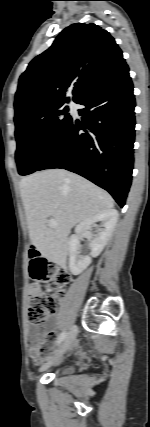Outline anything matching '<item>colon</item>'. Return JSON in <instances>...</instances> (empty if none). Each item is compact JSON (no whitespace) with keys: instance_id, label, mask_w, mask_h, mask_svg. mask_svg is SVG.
<instances>
[{"instance_id":"obj_1","label":"colon","mask_w":150,"mask_h":427,"mask_svg":"<svg viewBox=\"0 0 150 427\" xmlns=\"http://www.w3.org/2000/svg\"><path fill=\"white\" fill-rule=\"evenodd\" d=\"M29 272L35 282L28 289L27 316L30 323L41 324L57 311L58 296L62 293L61 288L69 282L70 275L44 258L34 246L29 250ZM38 282H46L48 289L43 290Z\"/></svg>"}]
</instances>
